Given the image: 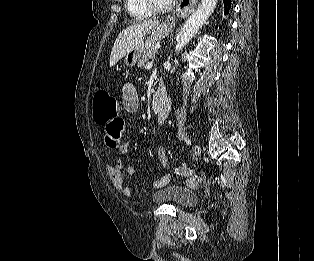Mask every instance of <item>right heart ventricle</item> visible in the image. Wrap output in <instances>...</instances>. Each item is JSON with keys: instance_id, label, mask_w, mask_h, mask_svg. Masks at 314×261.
I'll use <instances>...</instances> for the list:
<instances>
[{"instance_id": "right-heart-ventricle-1", "label": "right heart ventricle", "mask_w": 314, "mask_h": 261, "mask_svg": "<svg viewBox=\"0 0 314 261\" xmlns=\"http://www.w3.org/2000/svg\"><path fill=\"white\" fill-rule=\"evenodd\" d=\"M125 5L129 15L134 19H147L153 15L144 0H125Z\"/></svg>"}]
</instances>
